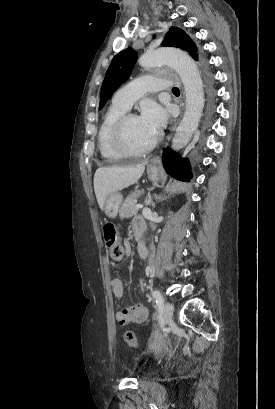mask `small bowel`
Returning a JSON list of instances; mask_svg holds the SVG:
<instances>
[{"mask_svg": "<svg viewBox=\"0 0 275 409\" xmlns=\"http://www.w3.org/2000/svg\"><path fill=\"white\" fill-rule=\"evenodd\" d=\"M138 220H142V219H138ZM140 256L142 258H145L147 256V250H146L145 255H142L140 253ZM137 286L140 290H143L145 284L143 281H139ZM112 290L116 297H122L125 292V287H124L123 282L118 278L114 279L112 281ZM117 318H118L119 323L122 325L128 324V323H143L148 318V310L142 304H135L133 306L121 309L117 314Z\"/></svg>", "mask_w": 275, "mask_h": 409, "instance_id": "1", "label": "small bowel"}]
</instances>
